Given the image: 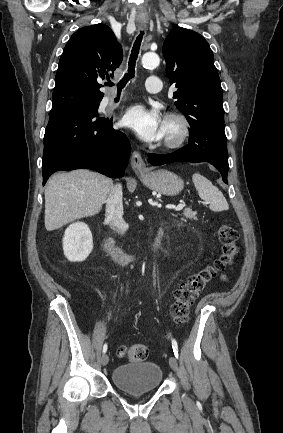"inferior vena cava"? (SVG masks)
<instances>
[{
    "mask_svg": "<svg viewBox=\"0 0 283 433\" xmlns=\"http://www.w3.org/2000/svg\"><path fill=\"white\" fill-rule=\"evenodd\" d=\"M123 202H122V186L121 184H115L113 186L106 204L105 217L109 221L110 225H114L119 235H124L126 229H123Z\"/></svg>",
    "mask_w": 283,
    "mask_h": 433,
    "instance_id": "602c4592",
    "label": "inferior vena cava"
}]
</instances>
